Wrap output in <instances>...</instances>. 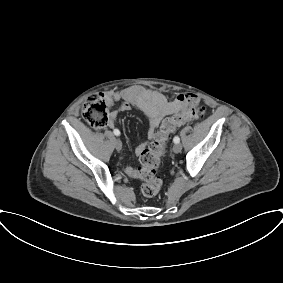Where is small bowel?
<instances>
[{
    "label": "small bowel",
    "mask_w": 283,
    "mask_h": 283,
    "mask_svg": "<svg viewBox=\"0 0 283 283\" xmlns=\"http://www.w3.org/2000/svg\"><path fill=\"white\" fill-rule=\"evenodd\" d=\"M105 99L111 106L116 102H121L117 108L111 111L108 121L109 128L115 127L120 112L134 107L143 112L148 119L149 141L154 139L155 131L164 117L179 111L191 101L198 102V97L194 94L181 93L175 99L168 100L161 92L140 86L129 87L117 92H107L105 93ZM147 145L148 142L139 144L136 147V153L140 155ZM125 173L131 178L137 177V170L132 166H127Z\"/></svg>",
    "instance_id": "obj_1"
}]
</instances>
